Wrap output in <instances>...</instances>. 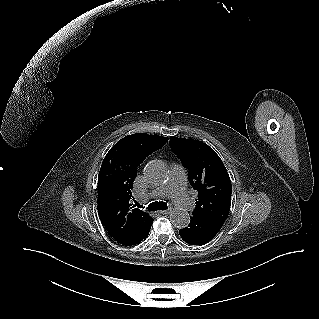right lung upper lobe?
Instances as JSON below:
<instances>
[{
  "label": "right lung upper lobe",
  "mask_w": 319,
  "mask_h": 319,
  "mask_svg": "<svg viewBox=\"0 0 319 319\" xmlns=\"http://www.w3.org/2000/svg\"><path fill=\"white\" fill-rule=\"evenodd\" d=\"M167 137L136 133L119 140L105 156L98 176V214L117 242L130 246L153 222L146 212L134 208L132 185L137 166L160 149Z\"/></svg>",
  "instance_id": "obj_1"
}]
</instances>
